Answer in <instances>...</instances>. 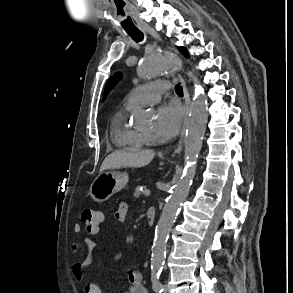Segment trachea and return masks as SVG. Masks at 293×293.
<instances>
[{
	"mask_svg": "<svg viewBox=\"0 0 293 293\" xmlns=\"http://www.w3.org/2000/svg\"><path fill=\"white\" fill-rule=\"evenodd\" d=\"M125 31L135 42H141L144 39V35L139 29H125ZM175 90L178 94L182 92L180 86H176Z\"/></svg>",
	"mask_w": 293,
	"mask_h": 293,
	"instance_id": "trachea-1",
	"label": "trachea"
}]
</instances>
